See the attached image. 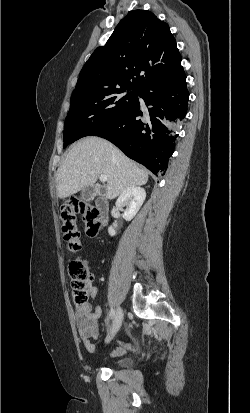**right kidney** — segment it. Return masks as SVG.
<instances>
[{"instance_id":"ca27d5eb","label":"right kidney","mask_w":250,"mask_h":413,"mask_svg":"<svg viewBox=\"0 0 250 413\" xmlns=\"http://www.w3.org/2000/svg\"><path fill=\"white\" fill-rule=\"evenodd\" d=\"M146 198V192L143 188L138 186H132L125 189L116 201V207L121 209L123 206L128 205L124 214L122 215L126 221H131ZM108 233L111 236L116 234L114 228L110 226L108 228Z\"/></svg>"}]
</instances>
